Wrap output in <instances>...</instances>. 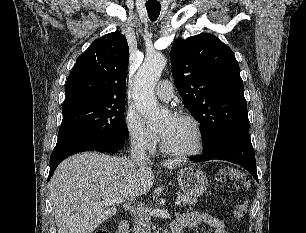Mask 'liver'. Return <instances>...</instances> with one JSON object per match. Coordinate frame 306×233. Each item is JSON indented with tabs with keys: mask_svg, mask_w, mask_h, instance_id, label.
<instances>
[{
	"mask_svg": "<svg viewBox=\"0 0 306 233\" xmlns=\"http://www.w3.org/2000/svg\"><path fill=\"white\" fill-rule=\"evenodd\" d=\"M167 160L163 166H182ZM154 183L150 163L84 152L64 160L50 180V199L58 233H92L114 216L117 208L107 200L133 201L147 194Z\"/></svg>",
	"mask_w": 306,
	"mask_h": 233,
	"instance_id": "1",
	"label": "liver"
}]
</instances>
